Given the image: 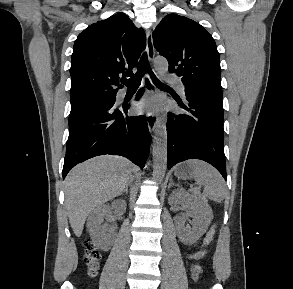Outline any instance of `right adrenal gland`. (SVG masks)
I'll return each mask as SVG.
<instances>
[{
    "label": "right adrenal gland",
    "instance_id": "obj_1",
    "mask_svg": "<svg viewBox=\"0 0 293 289\" xmlns=\"http://www.w3.org/2000/svg\"><path fill=\"white\" fill-rule=\"evenodd\" d=\"M123 193L128 194V187L127 186L120 195H122Z\"/></svg>",
    "mask_w": 293,
    "mask_h": 289
}]
</instances>
